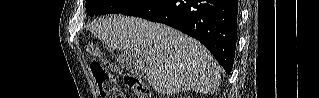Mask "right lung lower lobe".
I'll list each match as a JSON object with an SVG mask.
<instances>
[{
  "instance_id": "obj_1",
  "label": "right lung lower lobe",
  "mask_w": 319,
  "mask_h": 98,
  "mask_svg": "<svg viewBox=\"0 0 319 98\" xmlns=\"http://www.w3.org/2000/svg\"><path fill=\"white\" fill-rule=\"evenodd\" d=\"M122 14L163 23L196 38L227 74L232 70L237 40V0H147Z\"/></svg>"
}]
</instances>
